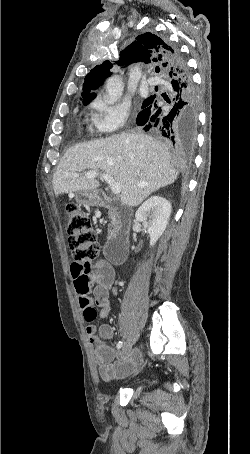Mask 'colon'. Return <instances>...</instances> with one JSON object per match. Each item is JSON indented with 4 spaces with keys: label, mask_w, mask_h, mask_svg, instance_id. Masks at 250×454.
I'll return each mask as SVG.
<instances>
[{
    "label": "colon",
    "mask_w": 250,
    "mask_h": 454,
    "mask_svg": "<svg viewBox=\"0 0 250 454\" xmlns=\"http://www.w3.org/2000/svg\"><path fill=\"white\" fill-rule=\"evenodd\" d=\"M68 243L73 258L79 263H89L99 254L97 236L92 228L87 214L76 204L66 207ZM84 319L91 323L95 320L97 312L93 306L83 310Z\"/></svg>",
    "instance_id": "1"
}]
</instances>
